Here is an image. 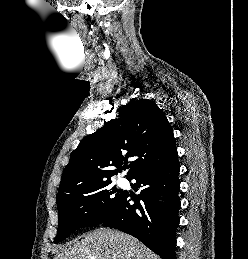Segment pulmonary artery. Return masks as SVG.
Segmentation results:
<instances>
[{"mask_svg":"<svg viewBox=\"0 0 248 259\" xmlns=\"http://www.w3.org/2000/svg\"><path fill=\"white\" fill-rule=\"evenodd\" d=\"M119 183H120V184H124V183H125V180H124V179H120V180H119Z\"/></svg>","mask_w":248,"mask_h":259,"instance_id":"e3ab8cb5","label":"pulmonary artery"}]
</instances>
